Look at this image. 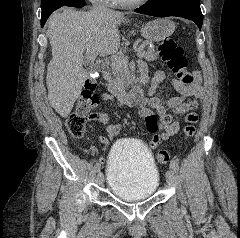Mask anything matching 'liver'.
<instances>
[{
  "label": "liver",
  "instance_id": "1",
  "mask_svg": "<svg viewBox=\"0 0 240 238\" xmlns=\"http://www.w3.org/2000/svg\"><path fill=\"white\" fill-rule=\"evenodd\" d=\"M126 20L123 13L113 10L93 13L63 8L51 14L46 34L52 60L47 67L46 83L49 103L61 117L70 114L84 86V53H116L120 47L118 25Z\"/></svg>",
  "mask_w": 240,
  "mask_h": 238
}]
</instances>
